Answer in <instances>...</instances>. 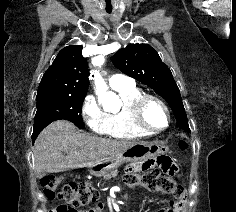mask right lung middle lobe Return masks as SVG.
Here are the masks:
<instances>
[{
  "label": "right lung middle lobe",
  "instance_id": "obj_1",
  "mask_svg": "<svg viewBox=\"0 0 236 212\" xmlns=\"http://www.w3.org/2000/svg\"><path fill=\"white\" fill-rule=\"evenodd\" d=\"M86 95L77 96H45L37 99V112L32 134V142L38 134L51 122L65 119L84 128L82 120V104Z\"/></svg>",
  "mask_w": 236,
  "mask_h": 212
}]
</instances>
